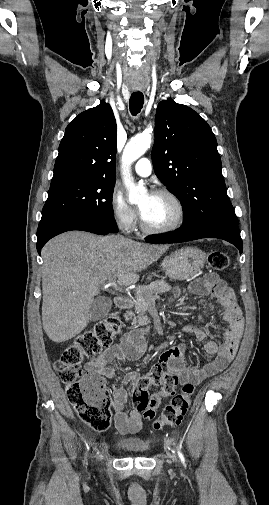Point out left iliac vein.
<instances>
[{
	"label": "left iliac vein",
	"instance_id": "left-iliac-vein-1",
	"mask_svg": "<svg viewBox=\"0 0 269 505\" xmlns=\"http://www.w3.org/2000/svg\"><path fill=\"white\" fill-rule=\"evenodd\" d=\"M173 460H174L175 462H177V459H176V457H175V456H173Z\"/></svg>",
	"mask_w": 269,
	"mask_h": 505
}]
</instances>
